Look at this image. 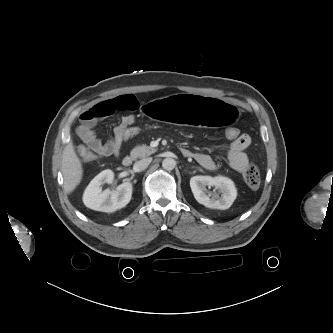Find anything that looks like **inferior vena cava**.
<instances>
[{"instance_id":"1","label":"inferior vena cava","mask_w":333,"mask_h":333,"mask_svg":"<svg viewBox=\"0 0 333 333\" xmlns=\"http://www.w3.org/2000/svg\"><path fill=\"white\" fill-rule=\"evenodd\" d=\"M151 161H152V158H146V159H142V160L135 162L134 170L138 171V172L144 170L145 168L148 167V165L151 163Z\"/></svg>"}]
</instances>
